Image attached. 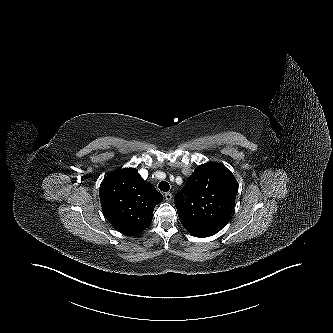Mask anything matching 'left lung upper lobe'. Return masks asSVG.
I'll return each mask as SVG.
<instances>
[{
	"mask_svg": "<svg viewBox=\"0 0 333 333\" xmlns=\"http://www.w3.org/2000/svg\"><path fill=\"white\" fill-rule=\"evenodd\" d=\"M237 192L238 183L225 166L206 163L196 167L174 199L182 225L196 237L216 234L232 214Z\"/></svg>",
	"mask_w": 333,
	"mask_h": 333,
	"instance_id": "left-lung-upper-lobe-1",
	"label": "left lung upper lobe"
}]
</instances>
